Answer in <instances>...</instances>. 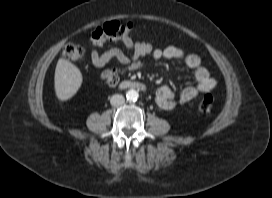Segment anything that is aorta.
<instances>
[{"mask_svg": "<svg viewBox=\"0 0 272 198\" xmlns=\"http://www.w3.org/2000/svg\"><path fill=\"white\" fill-rule=\"evenodd\" d=\"M138 96H139L138 92L134 89H130L126 93L127 100L129 101L133 102L136 101L138 99Z\"/></svg>", "mask_w": 272, "mask_h": 198, "instance_id": "1", "label": "aorta"}]
</instances>
